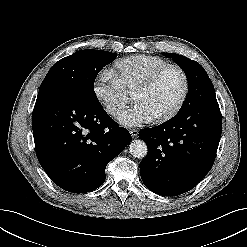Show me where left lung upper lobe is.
Returning <instances> with one entry per match:
<instances>
[{"instance_id":"obj_1","label":"left lung upper lobe","mask_w":247,"mask_h":247,"mask_svg":"<svg viewBox=\"0 0 247 247\" xmlns=\"http://www.w3.org/2000/svg\"><path fill=\"white\" fill-rule=\"evenodd\" d=\"M163 55L172 58L184 70L188 79V93L180 111L217 102L214 86L199 63L175 53H163Z\"/></svg>"}]
</instances>
